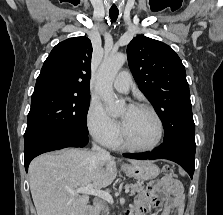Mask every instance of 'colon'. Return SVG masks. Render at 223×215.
Returning <instances> with one entry per match:
<instances>
[{
    "instance_id": "colon-1",
    "label": "colon",
    "mask_w": 223,
    "mask_h": 215,
    "mask_svg": "<svg viewBox=\"0 0 223 215\" xmlns=\"http://www.w3.org/2000/svg\"><path fill=\"white\" fill-rule=\"evenodd\" d=\"M163 172H164L166 177H169L171 179H174L176 177V174H175L174 170L169 166H165L164 169H163Z\"/></svg>"
}]
</instances>
